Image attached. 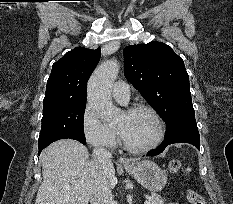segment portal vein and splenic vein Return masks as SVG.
<instances>
[{
    "label": "portal vein and splenic vein",
    "instance_id": "1",
    "mask_svg": "<svg viewBox=\"0 0 233 204\" xmlns=\"http://www.w3.org/2000/svg\"><path fill=\"white\" fill-rule=\"evenodd\" d=\"M144 204H151V203H150V200H146V201L144 202Z\"/></svg>",
    "mask_w": 233,
    "mask_h": 204
}]
</instances>
